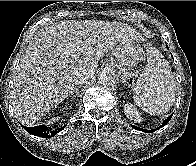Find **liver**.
I'll return each instance as SVG.
<instances>
[{"label":"liver","mask_w":196,"mask_h":166,"mask_svg":"<svg viewBox=\"0 0 196 166\" xmlns=\"http://www.w3.org/2000/svg\"><path fill=\"white\" fill-rule=\"evenodd\" d=\"M140 39L135 29L121 22L64 20L41 29L14 76L11 95L17 119L34 124L71 94L77 72L93 75L106 53Z\"/></svg>","instance_id":"obj_1"}]
</instances>
